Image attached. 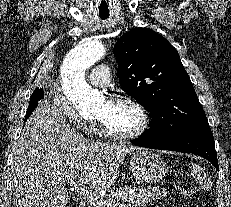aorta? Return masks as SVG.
Returning a JSON list of instances; mask_svg holds the SVG:
<instances>
[{
  "label": "aorta",
  "instance_id": "aorta-1",
  "mask_svg": "<svg viewBox=\"0 0 231 207\" xmlns=\"http://www.w3.org/2000/svg\"><path fill=\"white\" fill-rule=\"evenodd\" d=\"M98 40L86 41L72 48L61 66L62 90L67 100L80 112L91 113L104 97L85 80L86 71L105 55Z\"/></svg>",
  "mask_w": 231,
  "mask_h": 207
}]
</instances>
